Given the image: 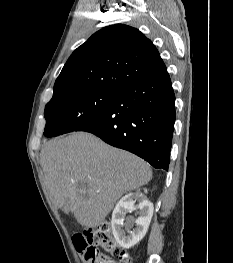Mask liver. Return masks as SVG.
Wrapping results in <instances>:
<instances>
[{
    "instance_id": "6515ba94",
    "label": "liver",
    "mask_w": 233,
    "mask_h": 263,
    "mask_svg": "<svg viewBox=\"0 0 233 263\" xmlns=\"http://www.w3.org/2000/svg\"><path fill=\"white\" fill-rule=\"evenodd\" d=\"M40 164L55 206L68 209L79 224L92 228L106 218L124 193L152 178L145 161L86 132L47 142Z\"/></svg>"
}]
</instances>
